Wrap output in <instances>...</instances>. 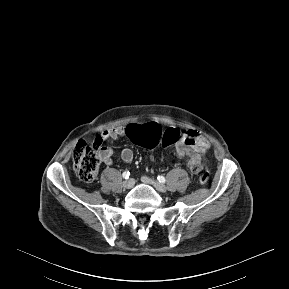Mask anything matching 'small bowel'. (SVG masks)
Masks as SVG:
<instances>
[{"label": "small bowel", "instance_id": "1", "mask_svg": "<svg viewBox=\"0 0 289 289\" xmlns=\"http://www.w3.org/2000/svg\"><path fill=\"white\" fill-rule=\"evenodd\" d=\"M127 133L126 128L119 126L102 131L98 141L103 142L109 139H117ZM209 140L193 129L186 130L182 138L175 145V152L180 158H185L192 173H198L202 169V156L210 149ZM113 151L109 147L102 148L101 160L106 165L112 164ZM124 162H131L134 158L132 149L123 148L119 153Z\"/></svg>", "mask_w": 289, "mask_h": 289}]
</instances>
